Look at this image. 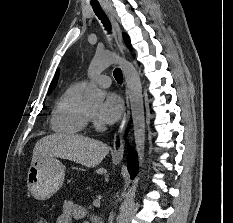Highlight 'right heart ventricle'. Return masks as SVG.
I'll return each instance as SVG.
<instances>
[{"label":"right heart ventricle","instance_id":"right-heart-ventricle-1","mask_svg":"<svg viewBox=\"0 0 233 223\" xmlns=\"http://www.w3.org/2000/svg\"><path fill=\"white\" fill-rule=\"evenodd\" d=\"M84 85L73 83L60 94L50 116L51 129L63 135L82 133L87 124V107L82 99Z\"/></svg>","mask_w":233,"mask_h":223}]
</instances>
